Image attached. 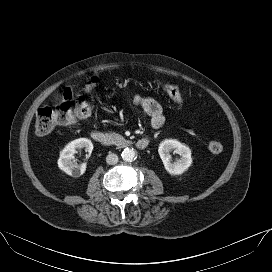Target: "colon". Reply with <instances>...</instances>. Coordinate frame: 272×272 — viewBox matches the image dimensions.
Wrapping results in <instances>:
<instances>
[{
    "label": "colon",
    "instance_id": "colon-1",
    "mask_svg": "<svg viewBox=\"0 0 272 272\" xmlns=\"http://www.w3.org/2000/svg\"><path fill=\"white\" fill-rule=\"evenodd\" d=\"M93 80L85 85L86 90H90ZM166 93L176 102H182L184 95L182 91L173 85L164 84ZM92 112L89 102L81 97H77L74 91L66 88L62 94V101L53 107H42L37 111L35 117V133L37 136L50 134L55 128L72 125L80 120L90 117ZM209 150L218 154L223 151V143L214 139L209 142Z\"/></svg>",
    "mask_w": 272,
    "mask_h": 272
}]
</instances>
